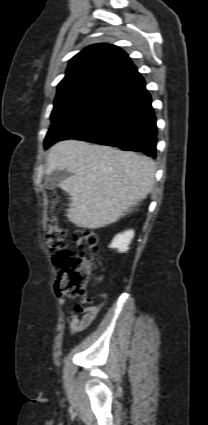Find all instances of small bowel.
Wrapping results in <instances>:
<instances>
[{
	"label": "small bowel",
	"instance_id": "obj_1",
	"mask_svg": "<svg viewBox=\"0 0 208 425\" xmlns=\"http://www.w3.org/2000/svg\"><path fill=\"white\" fill-rule=\"evenodd\" d=\"M59 295V303L61 305H64L66 303V299L64 296H62L61 293H58ZM104 298L103 294H96L93 295L90 299H87L86 301H92L95 300V305L90 306H83V305H75L74 309L72 311H69V318H68V326L72 333H78L83 330H85L87 327H89L93 321L95 320L100 308H101V300Z\"/></svg>",
	"mask_w": 208,
	"mask_h": 425
}]
</instances>
